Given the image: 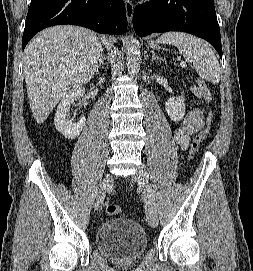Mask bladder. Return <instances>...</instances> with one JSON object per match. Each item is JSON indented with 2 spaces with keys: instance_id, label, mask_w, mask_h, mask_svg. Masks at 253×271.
Segmentation results:
<instances>
[{
  "instance_id": "31cf9c89",
  "label": "bladder",
  "mask_w": 253,
  "mask_h": 271,
  "mask_svg": "<svg viewBox=\"0 0 253 271\" xmlns=\"http://www.w3.org/2000/svg\"><path fill=\"white\" fill-rule=\"evenodd\" d=\"M99 252L116 262L139 259L148 247L143 227L130 218H115L101 224L95 233Z\"/></svg>"
}]
</instances>
